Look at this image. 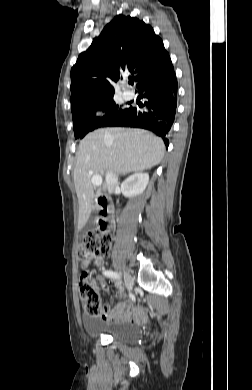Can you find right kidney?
Returning <instances> with one entry per match:
<instances>
[{
  "label": "right kidney",
  "mask_w": 252,
  "mask_h": 390,
  "mask_svg": "<svg viewBox=\"0 0 252 390\" xmlns=\"http://www.w3.org/2000/svg\"><path fill=\"white\" fill-rule=\"evenodd\" d=\"M149 182V175L147 173H135L129 176L121 185L122 194L131 198L140 195L145 190Z\"/></svg>",
  "instance_id": "ca27d5eb"
}]
</instances>
